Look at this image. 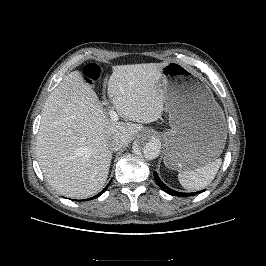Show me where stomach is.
<instances>
[{"label":"stomach","instance_id":"stomach-1","mask_svg":"<svg viewBox=\"0 0 266 266\" xmlns=\"http://www.w3.org/2000/svg\"><path fill=\"white\" fill-rule=\"evenodd\" d=\"M161 83L171 126L163 134L165 166L191 170L215 160L223 152L227 126L207 84L196 71L178 62L163 67Z\"/></svg>","mask_w":266,"mask_h":266}]
</instances>
